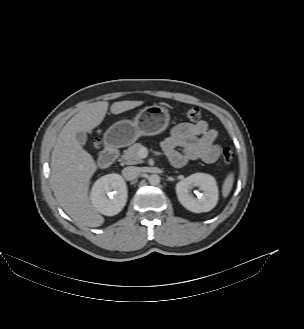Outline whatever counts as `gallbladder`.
Here are the masks:
<instances>
[{
  "mask_svg": "<svg viewBox=\"0 0 304 329\" xmlns=\"http://www.w3.org/2000/svg\"><path fill=\"white\" fill-rule=\"evenodd\" d=\"M76 139L81 145H85L87 141V135L83 131H79L76 133Z\"/></svg>",
  "mask_w": 304,
  "mask_h": 329,
  "instance_id": "1",
  "label": "gallbladder"
}]
</instances>
